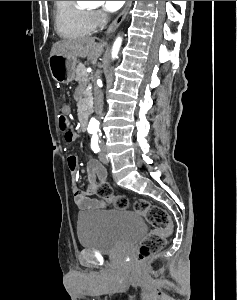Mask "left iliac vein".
<instances>
[{
	"label": "left iliac vein",
	"instance_id": "left-iliac-vein-1",
	"mask_svg": "<svg viewBox=\"0 0 237 300\" xmlns=\"http://www.w3.org/2000/svg\"><path fill=\"white\" fill-rule=\"evenodd\" d=\"M103 147V151L101 153H99V160L102 162V163H105L107 164L109 162L107 156H106V153L104 151V146Z\"/></svg>",
	"mask_w": 237,
	"mask_h": 300
}]
</instances>
